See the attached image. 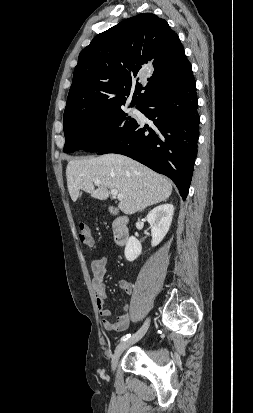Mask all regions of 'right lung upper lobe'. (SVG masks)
<instances>
[{"mask_svg":"<svg viewBox=\"0 0 253 413\" xmlns=\"http://www.w3.org/2000/svg\"><path fill=\"white\" fill-rule=\"evenodd\" d=\"M190 73L184 48L168 23L151 13L139 14L98 34L81 51L63 123L122 107L131 91V106L139 107L146 99L179 86Z\"/></svg>","mask_w":253,"mask_h":413,"instance_id":"obj_1","label":"right lung upper lobe"}]
</instances>
